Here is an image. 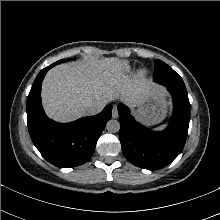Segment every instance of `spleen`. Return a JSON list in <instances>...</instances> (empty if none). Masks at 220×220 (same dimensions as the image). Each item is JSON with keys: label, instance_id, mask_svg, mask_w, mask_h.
<instances>
[{"label": "spleen", "instance_id": "spleen-1", "mask_svg": "<svg viewBox=\"0 0 220 220\" xmlns=\"http://www.w3.org/2000/svg\"><path fill=\"white\" fill-rule=\"evenodd\" d=\"M164 127H165V125H163V126L157 128V129H158V130H162Z\"/></svg>", "mask_w": 220, "mask_h": 220}]
</instances>
